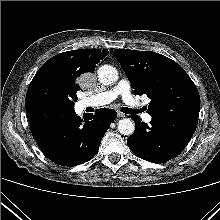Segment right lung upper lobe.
Listing matches in <instances>:
<instances>
[{"instance_id":"cb5924a9","label":"right lung upper lobe","mask_w":220,"mask_h":220,"mask_svg":"<svg viewBox=\"0 0 220 220\" xmlns=\"http://www.w3.org/2000/svg\"><path fill=\"white\" fill-rule=\"evenodd\" d=\"M108 50L79 49L60 53L46 61L36 74L57 73L72 78H78L82 74L92 73L96 64L104 59Z\"/></svg>"}]
</instances>
